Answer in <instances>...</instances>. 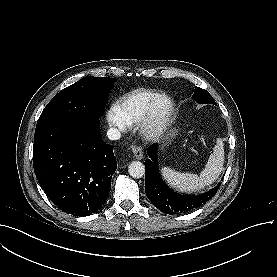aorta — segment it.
I'll list each match as a JSON object with an SVG mask.
<instances>
[{"label":"aorta","instance_id":"obj_1","mask_svg":"<svg viewBox=\"0 0 277 277\" xmlns=\"http://www.w3.org/2000/svg\"><path fill=\"white\" fill-rule=\"evenodd\" d=\"M128 172L133 178H141L145 175V166L140 161H133L128 167Z\"/></svg>","mask_w":277,"mask_h":277}]
</instances>
